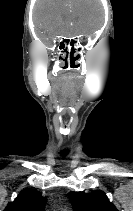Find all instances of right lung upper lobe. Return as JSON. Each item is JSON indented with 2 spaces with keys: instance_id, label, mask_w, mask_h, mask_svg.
Instances as JSON below:
<instances>
[{
  "instance_id": "cb5924a9",
  "label": "right lung upper lobe",
  "mask_w": 133,
  "mask_h": 211,
  "mask_svg": "<svg viewBox=\"0 0 133 211\" xmlns=\"http://www.w3.org/2000/svg\"><path fill=\"white\" fill-rule=\"evenodd\" d=\"M46 198L35 190L24 189L13 202H9L4 211H44Z\"/></svg>"
}]
</instances>
